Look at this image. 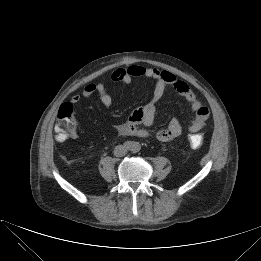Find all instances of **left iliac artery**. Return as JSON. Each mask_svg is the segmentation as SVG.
Returning <instances> with one entry per match:
<instances>
[{
  "instance_id": "1",
  "label": "left iliac artery",
  "mask_w": 261,
  "mask_h": 261,
  "mask_svg": "<svg viewBox=\"0 0 261 261\" xmlns=\"http://www.w3.org/2000/svg\"><path fill=\"white\" fill-rule=\"evenodd\" d=\"M139 150H140V146L138 144H134L133 151L134 152H139Z\"/></svg>"
}]
</instances>
